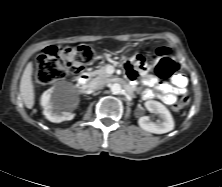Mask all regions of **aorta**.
Wrapping results in <instances>:
<instances>
[{
    "mask_svg": "<svg viewBox=\"0 0 222 187\" xmlns=\"http://www.w3.org/2000/svg\"><path fill=\"white\" fill-rule=\"evenodd\" d=\"M110 90L113 94L117 95L121 93L122 87L119 83H114L111 85Z\"/></svg>",
    "mask_w": 222,
    "mask_h": 187,
    "instance_id": "1",
    "label": "aorta"
}]
</instances>
